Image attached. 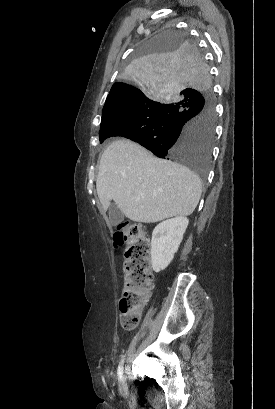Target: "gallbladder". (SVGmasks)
Instances as JSON below:
<instances>
[{
	"instance_id": "obj_1",
	"label": "gallbladder",
	"mask_w": 275,
	"mask_h": 409,
	"mask_svg": "<svg viewBox=\"0 0 275 409\" xmlns=\"http://www.w3.org/2000/svg\"><path fill=\"white\" fill-rule=\"evenodd\" d=\"M108 211L109 221L112 227H117V225H120V223L124 221V213H121L120 209H118L117 205H115V202H111Z\"/></svg>"
}]
</instances>
